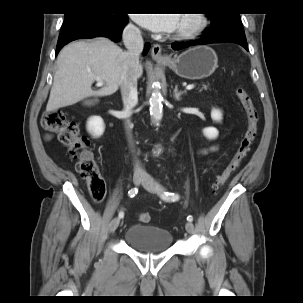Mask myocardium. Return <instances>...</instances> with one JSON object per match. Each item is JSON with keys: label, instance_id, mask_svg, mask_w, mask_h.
Here are the masks:
<instances>
[{"label": "myocardium", "instance_id": "1", "mask_svg": "<svg viewBox=\"0 0 303 303\" xmlns=\"http://www.w3.org/2000/svg\"><path fill=\"white\" fill-rule=\"evenodd\" d=\"M182 16H191L193 19V23L187 26H183L178 28L174 36L178 38H191L196 35H198L200 32H202L206 26L208 25V19L205 14L203 13H184L181 14Z\"/></svg>", "mask_w": 303, "mask_h": 303}]
</instances>
